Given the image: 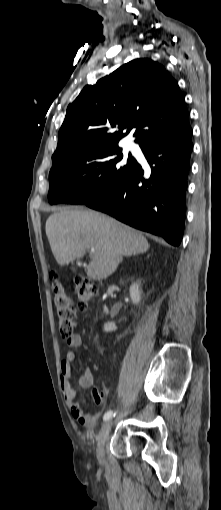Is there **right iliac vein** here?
Listing matches in <instances>:
<instances>
[{
	"instance_id": "1",
	"label": "right iliac vein",
	"mask_w": 221,
	"mask_h": 510,
	"mask_svg": "<svg viewBox=\"0 0 221 510\" xmlns=\"http://www.w3.org/2000/svg\"><path fill=\"white\" fill-rule=\"evenodd\" d=\"M112 427V421L108 420L105 422L99 432L98 438H97V458L101 462L103 460L104 456V445L108 438V435L110 433Z\"/></svg>"
}]
</instances>
